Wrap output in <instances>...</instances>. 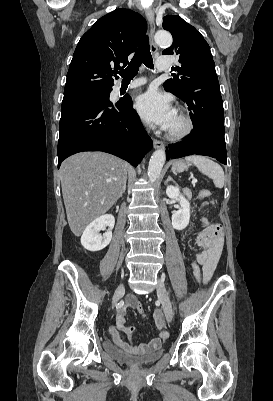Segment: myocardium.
Masks as SVG:
<instances>
[{
	"instance_id": "obj_1",
	"label": "myocardium",
	"mask_w": 273,
	"mask_h": 401,
	"mask_svg": "<svg viewBox=\"0 0 273 401\" xmlns=\"http://www.w3.org/2000/svg\"><path fill=\"white\" fill-rule=\"evenodd\" d=\"M177 114L183 122V127L176 131H167V137L172 140H182L189 137L193 133L195 128L194 120L190 115H188L181 109L178 110Z\"/></svg>"
}]
</instances>
